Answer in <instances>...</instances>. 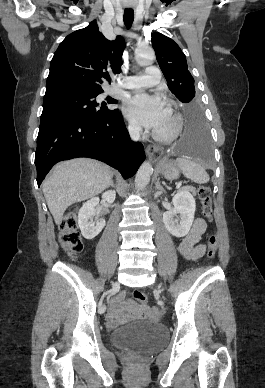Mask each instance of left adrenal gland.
Instances as JSON below:
<instances>
[{
    "label": "left adrenal gland",
    "instance_id": "left-adrenal-gland-1",
    "mask_svg": "<svg viewBox=\"0 0 265 388\" xmlns=\"http://www.w3.org/2000/svg\"><path fill=\"white\" fill-rule=\"evenodd\" d=\"M155 188H158V190H163L162 186H160V178H158V180L155 184Z\"/></svg>",
    "mask_w": 265,
    "mask_h": 388
}]
</instances>
